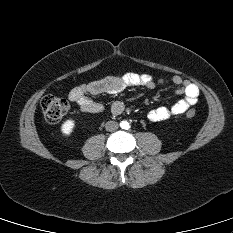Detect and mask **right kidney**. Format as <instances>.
Masks as SVG:
<instances>
[{
    "label": "right kidney",
    "instance_id": "ca27d5eb",
    "mask_svg": "<svg viewBox=\"0 0 233 233\" xmlns=\"http://www.w3.org/2000/svg\"><path fill=\"white\" fill-rule=\"evenodd\" d=\"M74 127H75L74 120L68 119L62 124L61 131L65 136H69L72 133Z\"/></svg>",
    "mask_w": 233,
    "mask_h": 233
}]
</instances>
